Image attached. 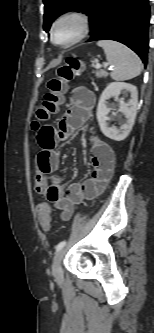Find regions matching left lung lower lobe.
I'll use <instances>...</instances> for the list:
<instances>
[{
  "mask_svg": "<svg viewBox=\"0 0 154 333\" xmlns=\"http://www.w3.org/2000/svg\"><path fill=\"white\" fill-rule=\"evenodd\" d=\"M149 20L148 0H98L90 13L89 41H118L146 63Z\"/></svg>",
  "mask_w": 154,
  "mask_h": 333,
  "instance_id": "1",
  "label": "left lung lower lobe"
}]
</instances>
